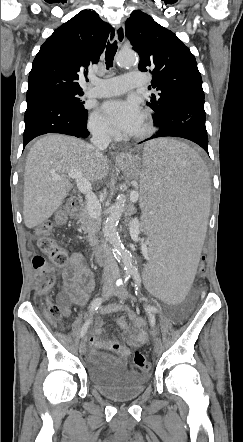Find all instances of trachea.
Listing matches in <instances>:
<instances>
[{
	"label": "trachea",
	"instance_id": "trachea-1",
	"mask_svg": "<svg viewBox=\"0 0 243 442\" xmlns=\"http://www.w3.org/2000/svg\"><path fill=\"white\" fill-rule=\"evenodd\" d=\"M117 52V42H113V43H109L107 44L106 47V52H105V60H106V67L107 69H109L110 67L113 66V59L114 56Z\"/></svg>",
	"mask_w": 243,
	"mask_h": 442
}]
</instances>
